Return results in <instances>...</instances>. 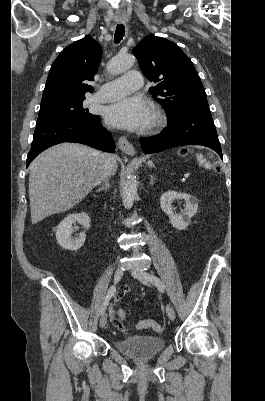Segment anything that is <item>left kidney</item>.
Instances as JSON below:
<instances>
[{
  "mask_svg": "<svg viewBox=\"0 0 265 401\" xmlns=\"http://www.w3.org/2000/svg\"><path fill=\"white\" fill-rule=\"evenodd\" d=\"M175 198H184L186 203L185 209L181 211L180 215H174L172 203L175 201ZM160 205L162 211L167 213L170 223L172 227H176V229H186L189 223H191V219L195 213L198 211V198L196 196H192V194H187V192H176V190H167V192H163L160 198Z\"/></svg>",
  "mask_w": 265,
  "mask_h": 401,
  "instance_id": "5707ae66",
  "label": "left kidney"
}]
</instances>
